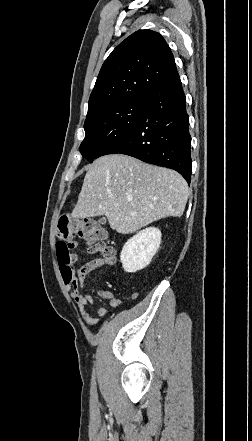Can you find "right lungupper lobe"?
Here are the masks:
<instances>
[{"mask_svg": "<svg viewBox=\"0 0 252 441\" xmlns=\"http://www.w3.org/2000/svg\"><path fill=\"white\" fill-rule=\"evenodd\" d=\"M177 73L170 47L152 30H139L120 43L103 63L89 98L91 115L144 95Z\"/></svg>", "mask_w": 252, "mask_h": 441, "instance_id": "cb5924a9", "label": "right lung upper lobe"}]
</instances>
